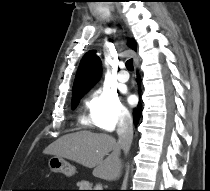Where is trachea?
Returning <instances> with one entry per match:
<instances>
[{"label":"trachea","mask_w":210,"mask_h":191,"mask_svg":"<svg viewBox=\"0 0 210 191\" xmlns=\"http://www.w3.org/2000/svg\"><path fill=\"white\" fill-rule=\"evenodd\" d=\"M126 68L130 71H133L134 70V67H133V59H129L127 60L126 62Z\"/></svg>","instance_id":"trachea-1"}]
</instances>
